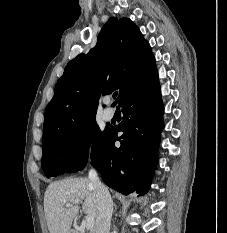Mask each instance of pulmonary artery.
<instances>
[{"label":"pulmonary artery","instance_id":"obj_1","mask_svg":"<svg viewBox=\"0 0 227 233\" xmlns=\"http://www.w3.org/2000/svg\"><path fill=\"white\" fill-rule=\"evenodd\" d=\"M114 112L111 109H105L103 113V117L105 120L109 121L113 118Z\"/></svg>","mask_w":227,"mask_h":233}]
</instances>
